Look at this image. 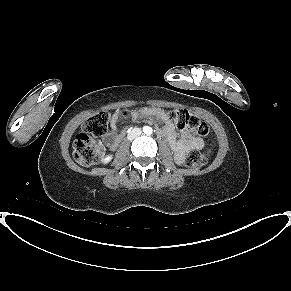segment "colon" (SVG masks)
I'll list each match as a JSON object with an SVG mask.
<instances>
[{
  "instance_id": "1",
  "label": "colon",
  "mask_w": 291,
  "mask_h": 291,
  "mask_svg": "<svg viewBox=\"0 0 291 291\" xmlns=\"http://www.w3.org/2000/svg\"><path fill=\"white\" fill-rule=\"evenodd\" d=\"M167 116L180 129H186L202 136H206L209 132L206 123L186 109L169 110ZM109 119L110 116L107 112H100L83 124L73 145V156L78 164L90 166L101 160L103 148L97 143L96 138L106 134ZM208 144L212 146L213 141L210 140ZM206 160L205 154L192 151L186 156L185 164L189 168H200L206 163Z\"/></svg>"
}]
</instances>
